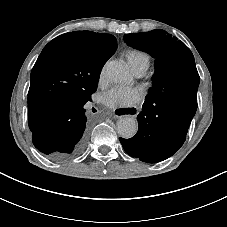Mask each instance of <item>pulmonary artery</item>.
I'll list each match as a JSON object with an SVG mask.
<instances>
[{
    "mask_svg": "<svg viewBox=\"0 0 227 227\" xmlns=\"http://www.w3.org/2000/svg\"><path fill=\"white\" fill-rule=\"evenodd\" d=\"M133 73L136 77H140L144 74V71L143 70H134Z\"/></svg>",
    "mask_w": 227,
    "mask_h": 227,
    "instance_id": "1",
    "label": "pulmonary artery"
}]
</instances>
